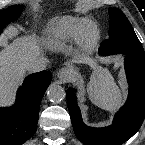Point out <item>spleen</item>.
<instances>
[{"label": "spleen", "instance_id": "spleen-1", "mask_svg": "<svg viewBox=\"0 0 145 145\" xmlns=\"http://www.w3.org/2000/svg\"><path fill=\"white\" fill-rule=\"evenodd\" d=\"M88 92L92 103L107 111L116 110L122 101L121 92L108 72L93 79Z\"/></svg>", "mask_w": 145, "mask_h": 145}]
</instances>
